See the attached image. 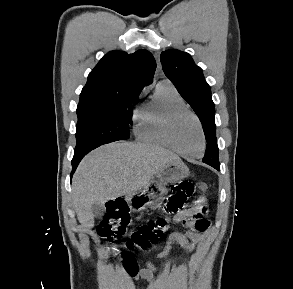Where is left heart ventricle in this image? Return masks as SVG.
<instances>
[{
  "mask_svg": "<svg viewBox=\"0 0 293 289\" xmlns=\"http://www.w3.org/2000/svg\"><path fill=\"white\" fill-rule=\"evenodd\" d=\"M174 140L180 150L189 155L199 154L202 140L195 120L188 114L179 116L174 123Z\"/></svg>",
  "mask_w": 293,
  "mask_h": 289,
  "instance_id": "1",
  "label": "left heart ventricle"
}]
</instances>
